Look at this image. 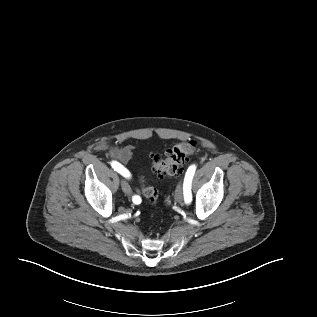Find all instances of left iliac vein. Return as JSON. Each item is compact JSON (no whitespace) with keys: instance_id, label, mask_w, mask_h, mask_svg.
Wrapping results in <instances>:
<instances>
[{"instance_id":"1","label":"left iliac vein","mask_w":317,"mask_h":317,"mask_svg":"<svg viewBox=\"0 0 317 317\" xmlns=\"http://www.w3.org/2000/svg\"><path fill=\"white\" fill-rule=\"evenodd\" d=\"M175 199H176V201L179 202V203H182L183 200H184V192H183V189H182V185H181V184H179V185L177 186V189H176V191H175Z\"/></svg>"}]
</instances>
